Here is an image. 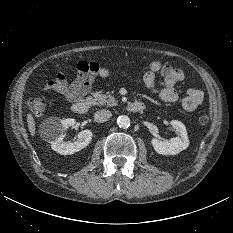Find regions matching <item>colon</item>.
<instances>
[{"mask_svg": "<svg viewBox=\"0 0 233 233\" xmlns=\"http://www.w3.org/2000/svg\"><path fill=\"white\" fill-rule=\"evenodd\" d=\"M26 108L29 112L34 115H43L47 108V101L42 98H33L27 101ZM199 123L201 125H206L209 123V116L202 115L199 118Z\"/></svg>", "mask_w": 233, "mask_h": 233, "instance_id": "colon-1", "label": "colon"}]
</instances>
